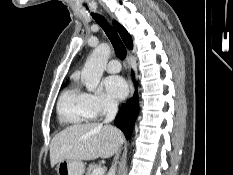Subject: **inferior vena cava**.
Instances as JSON below:
<instances>
[{
    "instance_id": "1",
    "label": "inferior vena cava",
    "mask_w": 233,
    "mask_h": 175,
    "mask_svg": "<svg viewBox=\"0 0 233 175\" xmlns=\"http://www.w3.org/2000/svg\"><path fill=\"white\" fill-rule=\"evenodd\" d=\"M117 109H118V105L117 103L113 100V99H109L107 102V114L104 120V123H109L112 122L117 114ZM116 156H115V164L112 165V167L110 168L109 172L107 175H115V169H116V160L119 157L118 154V149L116 150Z\"/></svg>"
}]
</instances>
